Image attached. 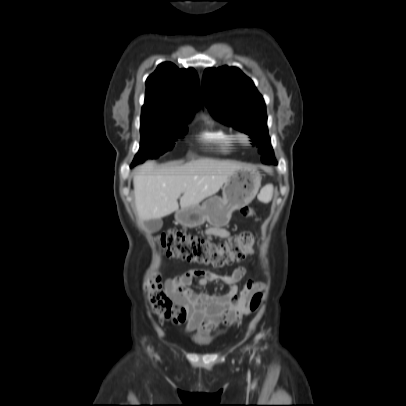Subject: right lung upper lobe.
Segmentation results:
<instances>
[{"mask_svg":"<svg viewBox=\"0 0 406 406\" xmlns=\"http://www.w3.org/2000/svg\"><path fill=\"white\" fill-rule=\"evenodd\" d=\"M199 78L193 68L165 62L146 80L143 120L190 121L202 106Z\"/></svg>","mask_w":406,"mask_h":406,"instance_id":"1","label":"right lung upper lobe"}]
</instances>
